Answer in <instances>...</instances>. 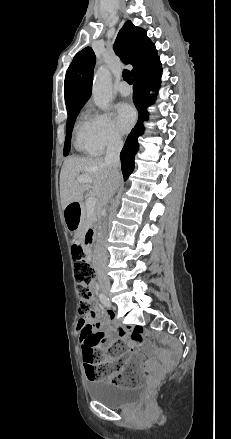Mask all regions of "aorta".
<instances>
[{
  "mask_svg": "<svg viewBox=\"0 0 231 439\" xmlns=\"http://www.w3.org/2000/svg\"><path fill=\"white\" fill-rule=\"evenodd\" d=\"M92 96L97 107L107 109L112 98V84L110 72L104 66H100L94 75Z\"/></svg>",
  "mask_w": 231,
  "mask_h": 439,
  "instance_id": "1",
  "label": "aorta"
}]
</instances>
